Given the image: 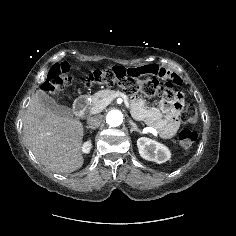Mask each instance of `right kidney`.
Wrapping results in <instances>:
<instances>
[{"label": "right kidney", "instance_id": "right-kidney-1", "mask_svg": "<svg viewBox=\"0 0 236 236\" xmlns=\"http://www.w3.org/2000/svg\"><path fill=\"white\" fill-rule=\"evenodd\" d=\"M91 148H92L91 142H90V141H87V142H85V143L83 144V146H82V151H83V153H86V154H87V153L90 152Z\"/></svg>", "mask_w": 236, "mask_h": 236}]
</instances>
